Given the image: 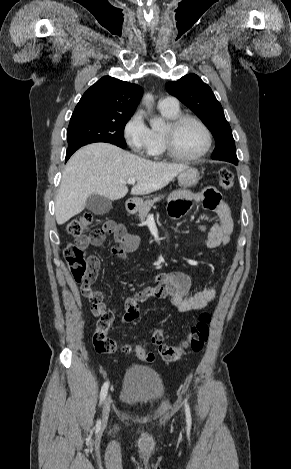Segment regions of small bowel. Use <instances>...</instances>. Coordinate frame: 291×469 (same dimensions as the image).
<instances>
[{"mask_svg": "<svg viewBox=\"0 0 291 469\" xmlns=\"http://www.w3.org/2000/svg\"><path fill=\"white\" fill-rule=\"evenodd\" d=\"M191 202L201 203L205 209L215 213L218 217L217 222L201 224L197 227L198 232L208 231L207 247L217 248L226 245L230 241L234 229L229 204L212 187H208L200 192L180 190L174 192L170 197L168 206L169 215L175 219L182 217L189 209ZM101 231L102 239L105 234H112L114 236L117 243L114 252L120 256H124L126 252L136 250L139 246V237L129 233L122 224L108 221L103 225ZM102 239L91 244L99 245ZM90 259L98 269V259L95 256H92ZM193 285V278L181 271L158 274L155 286L146 287L126 299V312L121 319L122 324L137 321L140 317L138 303L150 297L168 298L179 312L188 313L203 309L217 295L216 288H206L190 295ZM97 293L102 297L100 292L97 291Z\"/></svg>", "mask_w": 291, "mask_h": 469, "instance_id": "1", "label": "small bowel"}]
</instances>
